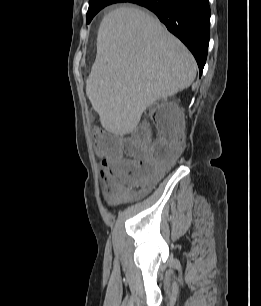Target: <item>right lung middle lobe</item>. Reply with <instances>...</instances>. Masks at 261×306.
Here are the masks:
<instances>
[{
    "label": "right lung middle lobe",
    "instance_id": "obj_1",
    "mask_svg": "<svg viewBox=\"0 0 261 306\" xmlns=\"http://www.w3.org/2000/svg\"><path fill=\"white\" fill-rule=\"evenodd\" d=\"M122 1H103V2H89V9L86 15V23H90L93 17L104 7L114 4L120 3Z\"/></svg>",
    "mask_w": 261,
    "mask_h": 306
}]
</instances>
